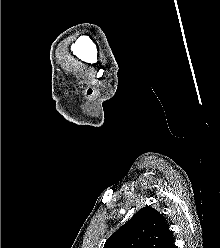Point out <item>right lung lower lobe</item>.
<instances>
[{
  "instance_id": "98d812e1",
  "label": "right lung lower lobe",
  "mask_w": 220,
  "mask_h": 248,
  "mask_svg": "<svg viewBox=\"0 0 220 248\" xmlns=\"http://www.w3.org/2000/svg\"><path fill=\"white\" fill-rule=\"evenodd\" d=\"M164 248H176L174 244V238Z\"/></svg>"
}]
</instances>
